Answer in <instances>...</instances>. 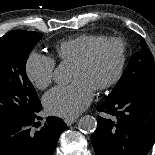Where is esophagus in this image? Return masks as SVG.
Here are the masks:
<instances>
[{"instance_id": "esophagus-1", "label": "esophagus", "mask_w": 155, "mask_h": 155, "mask_svg": "<svg viewBox=\"0 0 155 155\" xmlns=\"http://www.w3.org/2000/svg\"><path fill=\"white\" fill-rule=\"evenodd\" d=\"M65 123L68 125V126H71L72 124H74L76 122V119L75 118H65Z\"/></svg>"}]
</instances>
